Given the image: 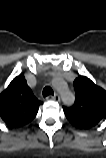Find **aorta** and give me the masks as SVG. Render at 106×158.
Listing matches in <instances>:
<instances>
[{"label": "aorta", "mask_w": 106, "mask_h": 158, "mask_svg": "<svg viewBox=\"0 0 106 158\" xmlns=\"http://www.w3.org/2000/svg\"><path fill=\"white\" fill-rule=\"evenodd\" d=\"M59 89L61 90L62 100L64 104L66 105L72 104L74 102V95L68 90H62L60 86Z\"/></svg>", "instance_id": "1"}]
</instances>
